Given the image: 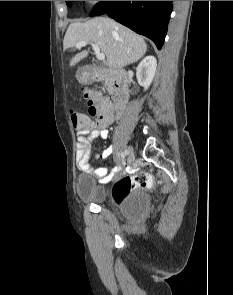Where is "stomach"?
Instances as JSON below:
<instances>
[{
  "label": "stomach",
  "mask_w": 233,
  "mask_h": 295,
  "mask_svg": "<svg viewBox=\"0 0 233 295\" xmlns=\"http://www.w3.org/2000/svg\"><path fill=\"white\" fill-rule=\"evenodd\" d=\"M76 78L80 83H87L90 81L91 76L90 74L85 70V68H80L76 73Z\"/></svg>",
  "instance_id": "obj_1"
}]
</instances>
